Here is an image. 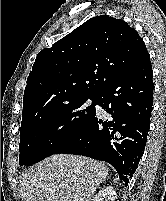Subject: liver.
I'll use <instances>...</instances> for the list:
<instances>
[{
  "label": "liver",
  "instance_id": "1",
  "mask_svg": "<svg viewBox=\"0 0 166 201\" xmlns=\"http://www.w3.org/2000/svg\"><path fill=\"white\" fill-rule=\"evenodd\" d=\"M108 171L102 162L91 158L50 156L22 175V201H90Z\"/></svg>",
  "mask_w": 166,
  "mask_h": 201
}]
</instances>
